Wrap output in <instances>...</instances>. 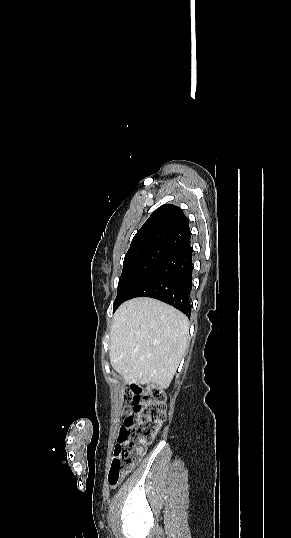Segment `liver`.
Wrapping results in <instances>:
<instances>
[{
	"label": "liver",
	"mask_w": 291,
	"mask_h": 538,
	"mask_svg": "<svg viewBox=\"0 0 291 538\" xmlns=\"http://www.w3.org/2000/svg\"><path fill=\"white\" fill-rule=\"evenodd\" d=\"M189 322L180 311L140 297L115 312L110 332V362L126 383L167 388L188 346Z\"/></svg>",
	"instance_id": "obj_1"
}]
</instances>
